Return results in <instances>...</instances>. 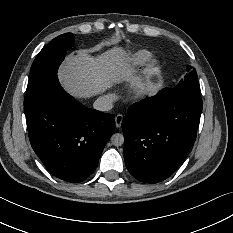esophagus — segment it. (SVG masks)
<instances>
[{
	"instance_id": "34e87169",
	"label": "esophagus",
	"mask_w": 233,
	"mask_h": 233,
	"mask_svg": "<svg viewBox=\"0 0 233 233\" xmlns=\"http://www.w3.org/2000/svg\"><path fill=\"white\" fill-rule=\"evenodd\" d=\"M122 120H123V115L121 114H118L116 117H115V124H116V127L117 128H120L121 124H122Z\"/></svg>"
}]
</instances>
